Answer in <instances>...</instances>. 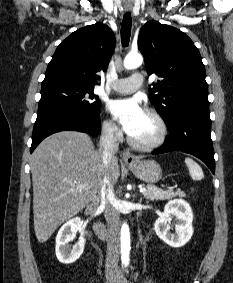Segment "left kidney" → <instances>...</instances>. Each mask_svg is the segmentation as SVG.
I'll return each mask as SVG.
<instances>
[{
  "mask_svg": "<svg viewBox=\"0 0 233 283\" xmlns=\"http://www.w3.org/2000/svg\"><path fill=\"white\" fill-rule=\"evenodd\" d=\"M173 220L175 232H170L169 223ZM193 212L190 205L176 199L166 204L164 213L156 220L154 229L157 236L171 247L184 246L193 234Z\"/></svg>",
  "mask_w": 233,
  "mask_h": 283,
  "instance_id": "1",
  "label": "left kidney"
}]
</instances>
